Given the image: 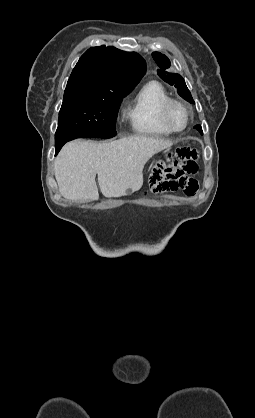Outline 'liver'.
<instances>
[{
    "instance_id": "obj_1",
    "label": "liver",
    "mask_w": 255,
    "mask_h": 418,
    "mask_svg": "<svg viewBox=\"0 0 255 418\" xmlns=\"http://www.w3.org/2000/svg\"><path fill=\"white\" fill-rule=\"evenodd\" d=\"M173 142L133 136L109 143L75 140L67 143L54 162L60 194L72 201L98 200L96 174L105 197L125 196L143 185V168L156 153Z\"/></svg>"
}]
</instances>
